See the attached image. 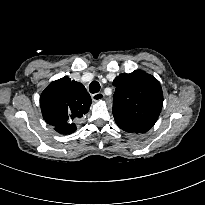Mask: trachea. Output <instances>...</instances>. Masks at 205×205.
I'll list each match as a JSON object with an SVG mask.
<instances>
[{
	"instance_id": "obj_1",
	"label": "trachea",
	"mask_w": 205,
	"mask_h": 205,
	"mask_svg": "<svg viewBox=\"0 0 205 205\" xmlns=\"http://www.w3.org/2000/svg\"><path fill=\"white\" fill-rule=\"evenodd\" d=\"M89 90L91 93H97L100 91V84L97 81H92L89 85Z\"/></svg>"
}]
</instances>
